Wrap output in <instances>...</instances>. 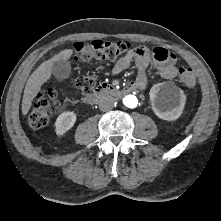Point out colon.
<instances>
[{
  "mask_svg": "<svg viewBox=\"0 0 221 221\" xmlns=\"http://www.w3.org/2000/svg\"><path fill=\"white\" fill-rule=\"evenodd\" d=\"M130 45L127 41L106 42L93 41L90 44L78 43L74 45L75 56L79 61L116 60L122 58L129 51ZM179 80L187 88L196 85V77L191 69L181 67L179 69ZM77 87L85 94H89L95 87V78L92 75H81L76 80ZM57 92L52 90H42L37 93L28 121L32 128L40 129L49 122L50 114L54 109L63 104Z\"/></svg>",
  "mask_w": 221,
  "mask_h": 221,
  "instance_id": "1",
  "label": "colon"
}]
</instances>
